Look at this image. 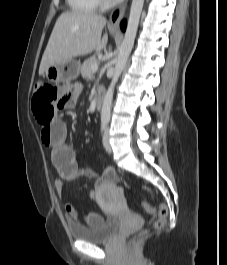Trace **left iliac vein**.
Here are the masks:
<instances>
[{"label": "left iliac vein", "mask_w": 227, "mask_h": 265, "mask_svg": "<svg viewBox=\"0 0 227 265\" xmlns=\"http://www.w3.org/2000/svg\"><path fill=\"white\" fill-rule=\"evenodd\" d=\"M109 138H110L109 131H108V129H106V131L104 133V136H103V145H104L105 150L108 153H111L112 152V147H111Z\"/></svg>", "instance_id": "1"}]
</instances>
